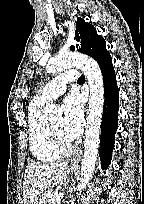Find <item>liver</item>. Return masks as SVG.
<instances>
[{
	"label": "liver",
	"instance_id": "1",
	"mask_svg": "<svg viewBox=\"0 0 144 204\" xmlns=\"http://www.w3.org/2000/svg\"><path fill=\"white\" fill-rule=\"evenodd\" d=\"M68 163H28L23 181V203L36 204L46 189L61 185L66 179Z\"/></svg>",
	"mask_w": 144,
	"mask_h": 204
}]
</instances>
